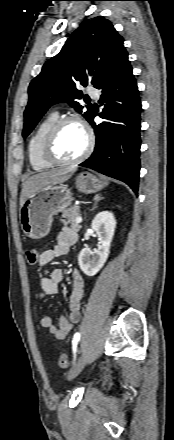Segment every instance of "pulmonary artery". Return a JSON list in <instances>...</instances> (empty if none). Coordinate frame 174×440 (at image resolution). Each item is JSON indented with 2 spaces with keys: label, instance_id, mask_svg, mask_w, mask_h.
I'll return each instance as SVG.
<instances>
[{
  "label": "pulmonary artery",
  "instance_id": "obj_1",
  "mask_svg": "<svg viewBox=\"0 0 174 440\" xmlns=\"http://www.w3.org/2000/svg\"><path fill=\"white\" fill-rule=\"evenodd\" d=\"M87 92L90 96L96 98L98 96V91L94 87H88Z\"/></svg>",
  "mask_w": 174,
  "mask_h": 440
}]
</instances>
